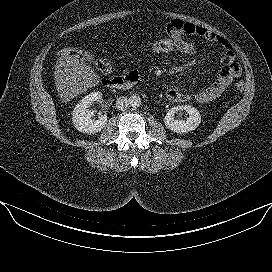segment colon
Segmentation results:
<instances>
[{
    "mask_svg": "<svg viewBox=\"0 0 272 272\" xmlns=\"http://www.w3.org/2000/svg\"><path fill=\"white\" fill-rule=\"evenodd\" d=\"M140 48L141 51L145 53L158 56L172 57L187 54L184 44L168 36L143 43L141 44ZM60 55L69 59H78L80 61L92 62L100 72L105 74L111 71V65L109 61L105 59H95L91 53L83 49L67 47L60 51ZM236 88L241 92L244 90L245 85L243 82H238L236 84Z\"/></svg>",
    "mask_w": 272,
    "mask_h": 272,
    "instance_id": "5ec220e1",
    "label": "colon"
}]
</instances>
